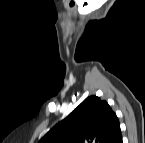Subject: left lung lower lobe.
Here are the masks:
<instances>
[{"label": "left lung lower lobe", "instance_id": "obj_1", "mask_svg": "<svg viewBox=\"0 0 145 143\" xmlns=\"http://www.w3.org/2000/svg\"><path fill=\"white\" fill-rule=\"evenodd\" d=\"M115 143H123L122 142V137L120 136Z\"/></svg>", "mask_w": 145, "mask_h": 143}]
</instances>
